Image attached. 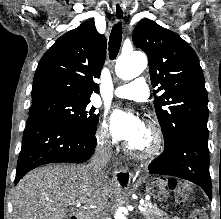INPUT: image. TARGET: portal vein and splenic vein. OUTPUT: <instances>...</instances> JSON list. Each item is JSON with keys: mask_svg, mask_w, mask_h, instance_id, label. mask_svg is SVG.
<instances>
[{"mask_svg": "<svg viewBox=\"0 0 221 219\" xmlns=\"http://www.w3.org/2000/svg\"><path fill=\"white\" fill-rule=\"evenodd\" d=\"M80 205H81L80 202H78V203L76 204V206H80ZM142 205H143V203H140V206L138 207L139 210H140V211H146V209H145Z\"/></svg>", "mask_w": 221, "mask_h": 219, "instance_id": "portal-vein-and-splenic-vein-1", "label": "portal vein and splenic vein"}]
</instances>
